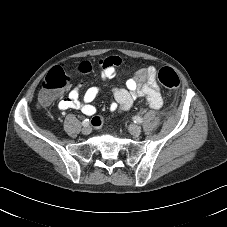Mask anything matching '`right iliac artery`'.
I'll return each instance as SVG.
<instances>
[{"label":"right iliac artery","instance_id":"obj_1","mask_svg":"<svg viewBox=\"0 0 227 227\" xmlns=\"http://www.w3.org/2000/svg\"><path fill=\"white\" fill-rule=\"evenodd\" d=\"M82 124H83V126H88L89 125V120L88 119H84Z\"/></svg>","mask_w":227,"mask_h":227}]
</instances>
